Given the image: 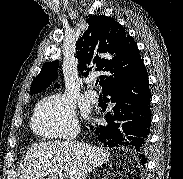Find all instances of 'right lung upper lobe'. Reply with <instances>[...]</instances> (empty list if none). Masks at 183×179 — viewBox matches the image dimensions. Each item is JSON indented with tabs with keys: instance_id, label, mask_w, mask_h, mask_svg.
<instances>
[{
	"instance_id": "right-lung-upper-lobe-1",
	"label": "right lung upper lobe",
	"mask_w": 183,
	"mask_h": 179,
	"mask_svg": "<svg viewBox=\"0 0 183 179\" xmlns=\"http://www.w3.org/2000/svg\"><path fill=\"white\" fill-rule=\"evenodd\" d=\"M88 29L76 43L78 70L83 76L100 71L102 90L135 72L143 63L134 39L110 17L92 16ZM57 60L46 62L31 84V93H39L57 79ZM55 87H59L58 84Z\"/></svg>"
}]
</instances>
